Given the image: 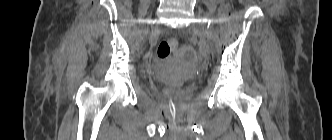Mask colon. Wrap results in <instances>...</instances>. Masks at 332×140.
<instances>
[{
	"label": "colon",
	"mask_w": 332,
	"mask_h": 140,
	"mask_svg": "<svg viewBox=\"0 0 332 140\" xmlns=\"http://www.w3.org/2000/svg\"><path fill=\"white\" fill-rule=\"evenodd\" d=\"M179 47V41L176 38H169L162 42L157 47V57L159 59L168 58Z\"/></svg>",
	"instance_id": "1"
}]
</instances>
